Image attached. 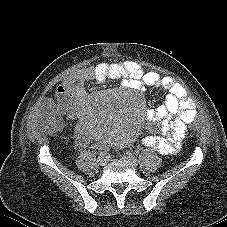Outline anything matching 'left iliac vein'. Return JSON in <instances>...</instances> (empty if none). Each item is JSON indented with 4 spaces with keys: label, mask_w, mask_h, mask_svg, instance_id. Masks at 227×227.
<instances>
[{
    "label": "left iliac vein",
    "mask_w": 227,
    "mask_h": 227,
    "mask_svg": "<svg viewBox=\"0 0 227 227\" xmlns=\"http://www.w3.org/2000/svg\"><path fill=\"white\" fill-rule=\"evenodd\" d=\"M121 159L133 166H136L138 164L137 157L133 156L132 154L128 153L126 155H122Z\"/></svg>",
    "instance_id": "4c4485c4"
}]
</instances>
